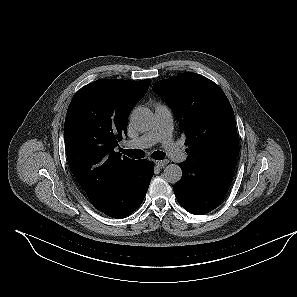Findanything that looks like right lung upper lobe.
I'll return each instance as SVG.
<instances>
[{
    "mask_svg": "<svg viewBox=\"0 0 297 297\" xmlns=\"http://www.w3.org/2000/svg\"><path fill=\"white\" fill-rule=\"evenodd\" d=\"M150 80L100 79L81 88L67 110L64 138L70 169L100 211L111 205L137 170L138 161L114 149Z\"/></svg>",
    "mask_w": 297,
    "mask_h": 297,
    "instance_id": "1",
    "label": "right lung upper lobe"
}]
</instances>
